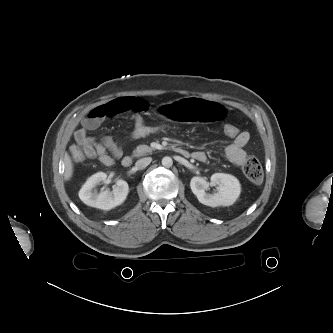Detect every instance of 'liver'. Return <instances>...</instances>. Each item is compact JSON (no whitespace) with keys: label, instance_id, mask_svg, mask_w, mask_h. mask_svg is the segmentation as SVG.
Masks as SVG:
<instances>
[{"label":"liver","instance_id":"1","mask_svg":"<svg viewBox=\"0 0 333 333\" xmlns=\"http://www.w3.org/2000/svg\"><path fill=\"white\" fill-rule=\"evenodd\" d=\"M64 164H65L64 178L65 180H69L73 175V163L70 156L67 153H65L64 155Z\"/></svg>","mask_w":333,"mask_h":333}]
</instances>
